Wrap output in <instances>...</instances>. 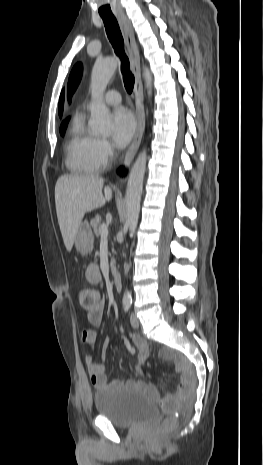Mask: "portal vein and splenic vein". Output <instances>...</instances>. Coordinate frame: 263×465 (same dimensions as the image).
I'll return each instance as SVG.
<instances>
[{"mask_svg":"<svg viewBox=\"0 0 263 465\" xmlns=\"http://www.w3.org/2000/svg\"><path fill=\"white\" fill-rule=\"evenodd\" d=\"M100 235H101V238H102V239L108 237V227H107V225L103 224V225L101 226Z\"/></svg>","mask_w":263,"mask_h":465,"instance_id":"1","label":"portal vein and splenic vein"}]
</instances>
